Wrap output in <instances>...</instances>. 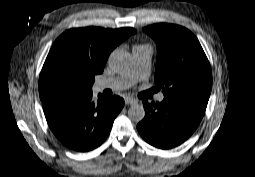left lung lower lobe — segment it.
I'll return each instance as SVG.
<instances>
[{
  "label": "left lung lower lobe",
  "instance_id": "obj_1",
  "mask_svg": "<svg viewBox=\"0 0 255 177\" xmlns=\"http://www.w3.org/2000/svg\"><path fill=\"white\" fill-rule=\"evenodd\" d=\"M207 101L167 99L159 103L143 101L145 118L137 125L140 135L149 144L173 148L184 142L198 127Z\"/></svg>",
  "mask_w": 255,
  "mask_h": 177
}]
</instances>
